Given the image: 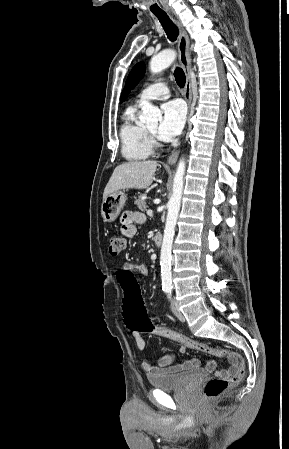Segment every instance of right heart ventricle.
Returning <instances> with one entry per match:
<instances>
[{"instance_id":"1","label":"right heart ventricle","mask_w":289,"mask_h":449,"mask_svg":"<svg viewBox=\"0 0 289 449\" xmlns=\"http://www.w3.org/2000/svg\"><path fill=\"white\" fill-rule=\"evenodd\" d=\"M136 106L129 107L120 128L121 149L128 160H143L152 154V142L147 129L137 121Z\"/></svg>"}]
</instances>
